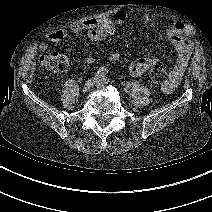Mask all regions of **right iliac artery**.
<instances>
[{"instance_id": "right-iliac-artery-1", "label": "right iliac artery", "mask_w": 212, "mask_h": 212, "mask_svg": "<svg viewBox=\"0 0 212 212\" xmlns=\"http://www.w3.org/2000/svg\"><path fill=\"white\" fill-rule=\"evenodd\" d=\"M108 73L107 69L105 67H101L98 71H97V74L99 76H102L104 77L106 74Z\"/></svg>"}]
</instances>
